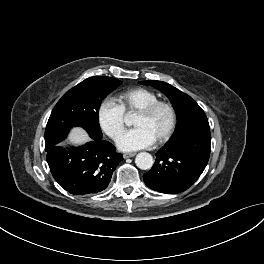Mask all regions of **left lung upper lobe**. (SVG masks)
<instances>
[{"mask_svg": "<svg viewBox=\"0 0 264 264\" xmlns=\"http://www.w3.org/2000/svg\"><path fill=\"white\" fill-rule=\"evenodd\" d=\"M163 92L173 104L177 125L169 141H179L200 132H210L208 119L202 108L189 95L162 81H140Z\"/></svg>", "mask_w": 264, "mask_h": 264, "instance_id": "left-lung-upper-lobe-1", "label": "left lung upper lobe"}]
</instances>
